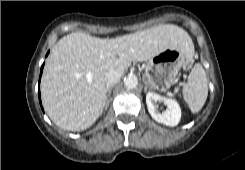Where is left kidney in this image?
Returning a JSON list of instances; mask_svg holds the SVG:
<instances>
[{
    "instance_id": "obj_1",
    "label": "left kidney",
    "mask_w": 245,
    "mask_h": 170,
    "mask_svg": "<svg viewBox=\"0 0 245 170\" xmlns=\"http://www.w3.org/2000/svg\"><path fill=\"white\" fill-rule=\"evenodd\" d=\"M157 102H164L167 110L161 113L158 110ZM146 104L151 117L155 121L171 127L178 125L180 122L181 109L176 100L148 92L146 95Z\"/></svg>"
}]
</instances>
